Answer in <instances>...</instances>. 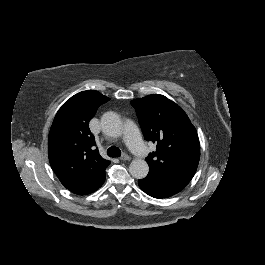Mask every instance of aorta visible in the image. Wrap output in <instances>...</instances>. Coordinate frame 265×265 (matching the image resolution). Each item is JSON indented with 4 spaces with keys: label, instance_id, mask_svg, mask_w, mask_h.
I'll return each instance as SVG.
<instances>
[{
    "label": "aorta",
    "instance_id": "1",
    "mask_svg": "<svg viewBox=\"0 0 265 265\" xmlns=\"http://www.w3.org/2000/svg\"><path fill=\"white\" fill-rule=\"evenodd\" d=\"M101 126L105 135L110 137H119L121 133V120L118 114L106 112L101 118ZM129 172L136 179H143L149 172V166L143 159H135L129 166Z\"/></svg>",
    "mask_w": 265,
    "mask_h": 265
}]
</instances>
